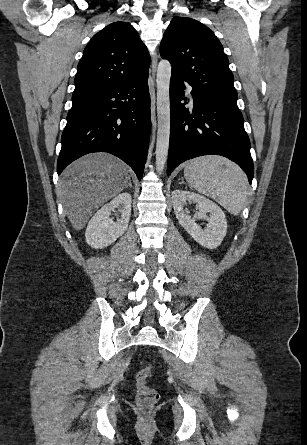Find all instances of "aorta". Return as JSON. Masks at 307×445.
Segmentation results:
<instances>
[{
	"instance_id": "obj_1",
	"label": "aorta",
	"mask_w": 307,
	"mask_h": 445,
	"mask_svg": "<svg viewBox=\"0 0 307 445\" xmlns=\"http://www.w3.org/2000/svg\"><path fill=\"white\" fill-rule=\"evenodd\" d=\"M171 64L169 60H160L157 66V116L158 130L156 142V170L162 172L169 148L170 136V78Z\"/></svg>"
}]
</instances>
